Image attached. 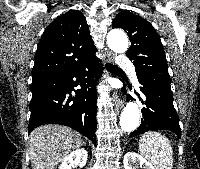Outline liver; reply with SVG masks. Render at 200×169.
Wrapping results in <instances>:
<instances>
[{
  "mask_svg": "<svg viewBox=\"0 0 200 169\" xmlns=\"http://www.w3.org/2000/svg\"><path fill=\"white\" fill-rule=\"evenodd\" d=\"M82 144L80 135L62 125H44L29 136L32 169H55L71 152Z\"/></svg>",
  "mask_w": 200,
  "mask_h": 169,
  "instance_id": "obj_1",
  "label": "liver"
}]
</instances>
